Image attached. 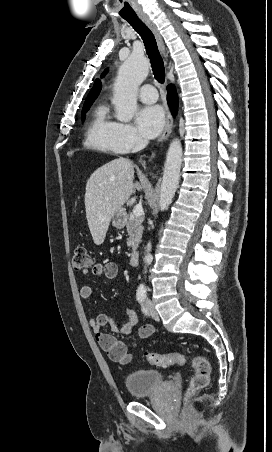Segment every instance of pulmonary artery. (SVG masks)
I'll return each mask as SVG.
<instances>
[{
  "mask_svg": "<svg viewBox=\"0 0 272 452\" xmlns=\"http://www.w3.org/2000/svg\"><path fill=\"white\" fill-rule=\"evenodd\" d=\"M139 98L143 103L152 104L157 101L158 94L151 84H144L139 91Z\"/></svg>",
  "mask_w": 272,
  "mask_h": 452,
  "instance_id": "e3ab8cb5",
  "label": "pulmonary artery"
}]
</instances>
